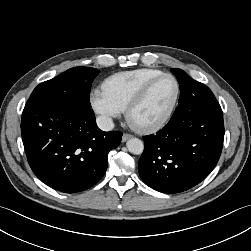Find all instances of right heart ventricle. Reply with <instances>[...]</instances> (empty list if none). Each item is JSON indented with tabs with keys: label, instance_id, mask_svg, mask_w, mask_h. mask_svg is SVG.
<instances>
[{
	"label": "right heart ventricle",
	"instance_id": "obj_1",
	"mask_svg": "<svg viewBox=\"0 0 251 251\" xmlns=\"http://www.w3.org/2000/svg\"><path fill=\"white\" fill-rule=\"evenodd\" d=\"M157 69L142 68L111 75L103 82V90L125 110L140 89L152 78L162 74Z\"/></svg>",
	"mask_w": 251,
	"mask_h": 251
}]
</instances>
